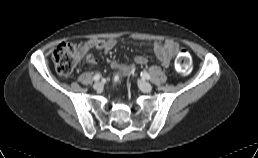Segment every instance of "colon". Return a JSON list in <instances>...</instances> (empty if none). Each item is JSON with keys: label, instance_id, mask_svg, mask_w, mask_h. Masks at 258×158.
Here are the masks:
<instances>
[{"label": "colon", "instance_id": "colon-1", "mask_svg": "<svg viewBox=\"0 0 258 158\" xmlns=\"http://www.w3.org/2000/svg\"><path fill=\"white\" fill-rule=\"evenodd\" d=\"M89 49L86 44L61 43L52 55L57 72L61 76H69L83 58H86L87 61L92 60V57L87 56ZM175 68L178 73L183 75L190 71L191 55L186 49H181L178 53Z\"/></svg>", "mask_w": 258, "mask_h": 158}]
</instances>
